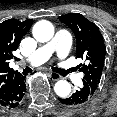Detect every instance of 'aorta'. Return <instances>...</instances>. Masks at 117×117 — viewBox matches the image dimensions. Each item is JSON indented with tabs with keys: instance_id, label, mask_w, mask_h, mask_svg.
Returning a JSON list of instances; mask_svg holds the SVG:
<instances>
[{
	"instance_id": "obj_1",
	"label": "aorta",
	"mask_w": 117,
	"mask_h": 117,
	"mask_svg": "<svg viewBox=\"0 0 117 117\" xmlns=\"http://www.w3.org/2000/svg\"><path fill=\"white\" fill-rule=\"evenodd\" d=\"M32 33L37 41L48 42L54 36V27L51 22L42 20L33 26ZM54 91L59 97L65 98L71 93V85L65 80H59L55 83Z\"/></svg>"
}]
</instances>
